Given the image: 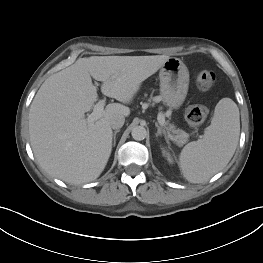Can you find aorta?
Wrapping results in <instances>:
<instances>
[{
    "label": "aorta",
    "instance_id": "aorta-1",
    "mask_svg": "<svg viewBox=\"0 0 263 263\" xmlns=\"http://www.w3.org/2000/svg\"><path fill=\"white\" fill-rule=\"evenodd\" d=\"M131 135L134 140L141 141L147 136V131L143 126H136L132 129Z\"/></svg>",
    "mask_w": 263,
    "mask_h": 263
}]
</instances>
